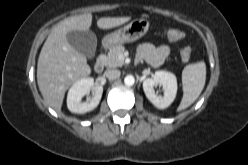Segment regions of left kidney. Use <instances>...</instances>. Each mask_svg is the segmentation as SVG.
<instances>
[{
    "label": "left kidney",
    "instance_id": "obj_1",
    "mask_svg": "<svg viewBox=\"0 0 248 165\" xmlns=\"http://www.w3.org/2000/svg\"><path fill=\"white\" fill-rule=\"evenodd\" d=\"M161 85L164 95H158L154 87ZM143 90L147 99L158 109H165L174 101L177 93V79L173 73L166 71L155 72L154 78L143 82Z\"/></svg>",
    "mask_w": 248,
    "mask_h": 165
}]
</instances>
